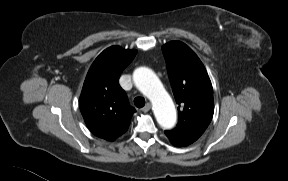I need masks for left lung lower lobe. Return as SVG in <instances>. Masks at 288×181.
I'll list each match as a JSON object with an SVG mask.
<instances>
[{"instance_id":"left-lung-lower-lobe-1","label":"left lung lower lobe","mask_w":288,"mask_h":181,"mask_svg":"<svg viewBox=\"0 0 288 181\" xmlns=\"http://www.w3.org/2000/svg\"><path fill=\"white\" fill-rule=\"evenodd\" d=\"M170 142L177 147L188 146L195 142L201 134H182L173 131H165Z\"/></svg>"}]
</instances>
